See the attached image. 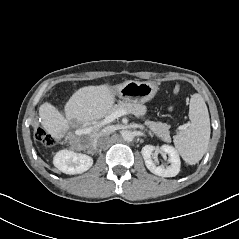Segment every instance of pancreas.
Here are the masks:
<instances>
[{"label":"pancreas","mask_w":239,"mask_h":239,"mask_svg":"<svg viewBox=\"0 0 239 239\" xmlns=\"http://www.w3.org/2000/svg\"><path fill=\"white\" fill-rule=\"evenodd\" d=\"M123 109L128 113L134 114L137 118H142L147 112V107L142 103H132V102H120L113 106L110 113L116 110ZM145 125L159 138L163 139L165 142H170V126L162 122L145 121Z\"/></svg>","instance_id":"pancreas-1"}]
</instances>
